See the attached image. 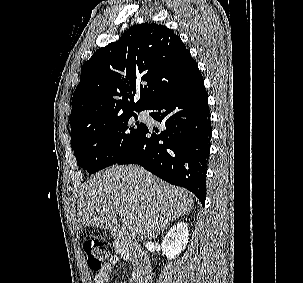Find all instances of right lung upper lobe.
Segmentation results:
<instances>
[{"mask_svg": "<svg viewBox=\"0 0 303 283\" xmlns=\"http://www.w3.org/2000/svg\"><path fill=\"white\" fill-rule=\"evenodd\" d=\"M199 74L196 61L171 29L156 23L133 26L82 66L72 98L71 134L145 110ZM135 95H140L136 103Z\"/></svg>", "mask_w": 303, "mask_h": 283, "instance_id": "cb5924a9", "label": "right lung upper lobe"}]
</instances>
